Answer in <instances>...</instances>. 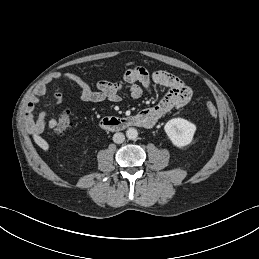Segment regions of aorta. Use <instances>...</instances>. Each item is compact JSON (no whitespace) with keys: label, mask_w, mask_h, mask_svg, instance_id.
<instances>
[{"label":"aorta","mask_w":259,"mask_h":259,"mask_svg":"<svg viewBox=\"0 0 259 259\" xmlns=\"http://www.w3.org/2000/svg\"><path fill=\"white\" fill-rule=\"evenodd\" d=\"M126 137L130 140H135L138 137V131L135 128H128Z\"/></svg>","instance_id":"762f6f07"}]
</instances>
